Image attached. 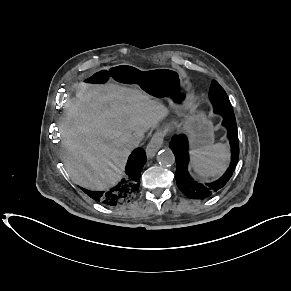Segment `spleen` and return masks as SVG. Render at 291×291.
I'll return each mask as SVG.
<instances>
[{
    "label": "spleen",
    "instance_id": "3e777b00",
    "mask_svg": "<svg viewBox=\"0 0 291 291\" xmlns=\"http://www.w3.org/2000/svg\"><path fill=\"white\" fill-rule=\"evenodd\" d=\"M190 154L194 171L202 177L221 175L227 168L229 153L223 143L193 149Z\"/></svg>",
    "mask_w": 291,
    "mask_h": 291
}]
</instances>
